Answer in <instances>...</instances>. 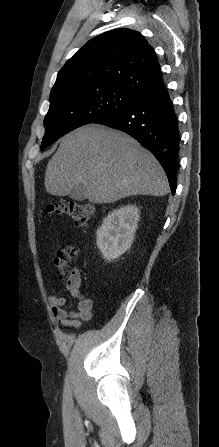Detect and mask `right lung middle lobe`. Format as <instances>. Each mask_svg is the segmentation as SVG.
I'll list each match as a JSON object with an SVG mask.
<instances>
[{
    "label": "right lung middle lobe",
    "mask_w": 219,
    "mask_h": 447,
    "mask_svg": "<svg viewBox=\"0 0 219 447\" xmlns=\"http://www.w3.org/2000/svg\"><path fill=\"white\" fill-rule=\"evenodd\" d=\"M138 98L111 85L73 86L52 92L44 119L41 149L80 126L96 123L134 103Z\"/></svg>",
    "instance_id": "1"
}]
</instances>
